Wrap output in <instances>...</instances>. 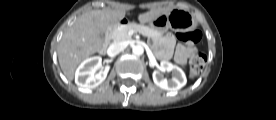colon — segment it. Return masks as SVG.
I'll return each mask as SVG.
<instances>
[{
  "label": "colon",
  "instance_id": "1",
  "mask_svg": "<svg viewBox=\"0 0 276 120\" xmlns=\"http://www.w3.org/2000/svg\"><path fill=\"white\" fill-rule=\"evenodd\" d=\"M178 40L183 44H196L201 38L202 34L199 30H192L189 32H180L177 34ZM206 64V55L204 52H198L192 56L188 64L189 74L194 77L199 75Z\"/></svg>",
  "mask_w": 276,
  "mask_h": 120
}]
</instances>
